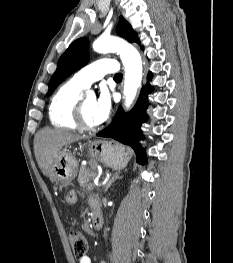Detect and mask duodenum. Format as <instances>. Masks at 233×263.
Masks as SVG:
<instances>
[{"instance_id":"1","label":"duodenum","mask_w":233,"mask_h":263,"mask_svg":"<svg viewBox=\"0 0 233 263\" xmlns=\"http://www.w3.org/2000/svg\"><path fill=\"white\" fill-rule=\"evenodd\" d=\"M92 207V222L95 229L99 230L102 227L103 219L100 208L97 202L91 204Z\"/></svg>"}]
</instances>
